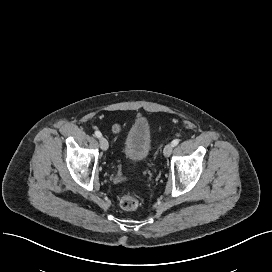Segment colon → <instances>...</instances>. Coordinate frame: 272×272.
Returning <instances> with one entry per match:
<instances>
[{"instance_id": "5ec220e1", "label": "colon", "mask_w": 272, "mask_h": 272, "mask_svg": "<svg viewBox=\"0 0 272 272\" xmlns=\"http://www.w3.org/2000/svg\"><path fill=\"white\" fill-rule=\"evenodd\" d=\"M140 205V200L134 195H123L119 200V206L124 211H134Z\"/></svg>"}]
</instances>
